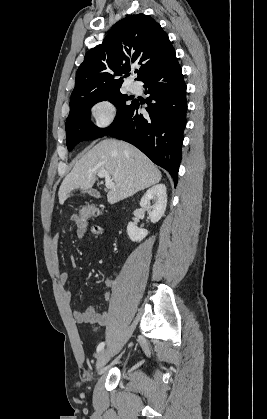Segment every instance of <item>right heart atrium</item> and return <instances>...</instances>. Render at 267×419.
Segmentation results:
<instances>
[{
    "label": "right heart atrium",
    "mask_w": 267,
    "mask_h": 419,
    "mask_svg": "<svg viewBox=\"0 0 267 419\" xmlns=\"http://www.w3.org/2000/svg\"><path fill=\"white\" fill-rule=\"evenodd\" d=\"M91 115L96 127L102 129L110 126L115 119L116 109L109 100H99L91 106Z\"/></svg>",
    "instance_id": "right-heart-atrium-1"
}]
</instances>
